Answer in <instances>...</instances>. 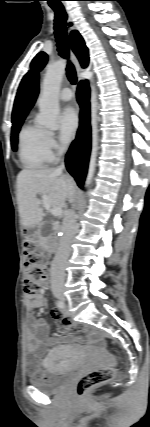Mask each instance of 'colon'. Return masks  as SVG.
Returning <instances> with one entry per match:
<instances>
[{"label":"colon","mask_w":150,"mask_h":427,"mask_svg":"<svg viewBox=\"0 0 150 427\" xmlns=\"http://www.w3.org/2000/svg\"><path fill=\"white\" fill-rule=\"evenodd\" d=\"M25 271V291L28 295H36L48 285L49 268L31 241L25 242ZM115 373L114 368L106 367L85 374L76 384L77 395H87L94 388L112 380Z\"/></svg>","instance_id":"5ec220e1"}]
</instances>
